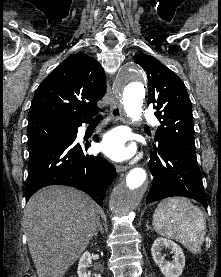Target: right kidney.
Returning <instances> with one entry per match:
<instances>
[{
	"instance_id": "ca27d5eb",
	"label": "right kidney",
	"mask_w": 221,
	"mask_h": 277,
	"mask_svg": "<svg viewBox=\"0 0 221 277\" xmlns=\"http://www.w3.org/2000/svg\"><path fill=\"white\" fill-rule=\"evenodd\" d=\"M91 254L90 252H85L80 260H79V264H78V277H89V274L87 273V268L89 267V265L91 264ZM95 277H101L100 274L95 275Z\"/></svg>"
}]
</instances>
